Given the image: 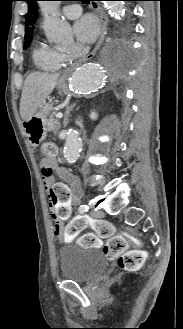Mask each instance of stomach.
<instances>
[{"label": "stomach", "instance_id": "0dacf381", "mask_svg": "<svg viewBox=\"0 0 183 329\" xmlns=\"http://www.w3.org/2000/svg\"><path fill=\"white\" fill-rule=\"evenodd\" d=\"M61 91L63 86L58 84ZM52 104L43 103L39 111L35 112L29 119L23 121V128L28 141L32 147H37L47 136V117L52 110Z\"/></svg>", "mask_w": 183, "mask_h": 329}]
</instances>
